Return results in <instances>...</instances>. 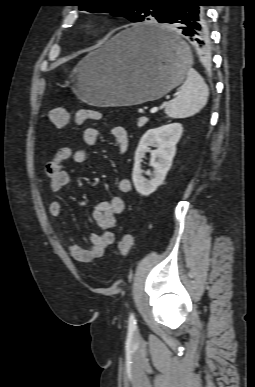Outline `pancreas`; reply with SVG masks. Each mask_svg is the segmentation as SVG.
Listing matches in <instances>:
<instances>
[{
	"instance_id": "cf45deb5",
	"label": "pancreas",
	"mask_w": 255,
	"mask_h": 387,
	"mask_svg": "<svg viewBox=\"0 0 255 387\" xmlns=\"http://www.w3.org/2000/svg\"><path fill=\"white\" fill-rule=\"evenodd\" d=\"M147 122H148V119H147V118H142V122H141L140 124H139V120H138L137 126H138V127H142V126H144Z\"/></svg>"
}]
</instances>
